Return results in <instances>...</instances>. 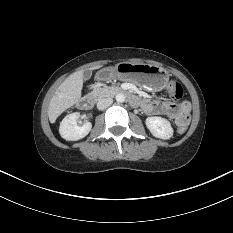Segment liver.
<instances>
[{
    "instance_id": "6515ba94",
    "label": "liver",
    "mask_w": 233,
    "mask_h": 233,
    "mask_svg": "<svg viewBox=\"0 0 233 233\" xmlns=\"http://www.w3.org/2000/svg\"><path fill=\"white\" fill-rule=\"evenodd\" d=\"M96 66L93 69H98ZM83 71L74 72L57 88L48 106V117L51 123L68 108L76 104L81 98L83 88Z\"/></svg>"
}]
</instances>
